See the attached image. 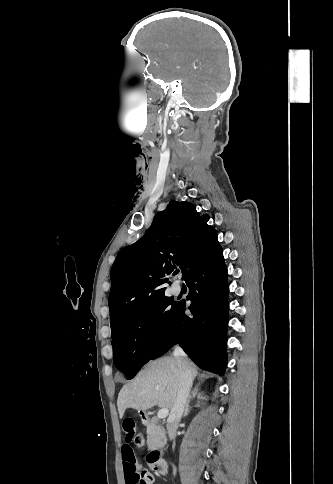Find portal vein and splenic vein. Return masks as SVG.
Listing matches in <instances>:
<instances>
[{
	"label": "portal vein and splenic vein",
	"instance_id": "18ae733b",
	"mask_svg": "<svg viewBox=\"0 0 333 484\" xmlns=\"http://www.w3.org/2000/svg\"><path fill=\"white\" fill-rule=\"evenodd\" d=\"M168 413H169L168 408H163V409H160V410L158 411V413H157V417H158L159 419L166 418V417H167V415H168Z\"/></svg>",
	"mask_w": 333,
	"mask_h": 484
}]
</instances>
